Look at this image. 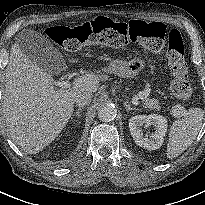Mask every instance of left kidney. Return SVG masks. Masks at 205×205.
<instances>
[{
	"instance_id": "left-kidney-1",
	"label": "left kidney",
	"mask_w": 205,
	"mask_h": 205,
	"mask_svg": "<svg viewBox=\"0 0 205 205\" xmlns=\"http://www.w3.org/2000/svg\"><path fill=\"white\" fill-rule=\"evenodd\" d=\"M153 125L155 131L148 138L143 135V129ZM131 136L135 143L148 150H155L162 146L164 137L167 132V120L165 117L157 114L149 116L137 115L129 120Z\"/></svg>"
}]
</instances>
